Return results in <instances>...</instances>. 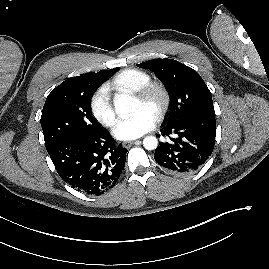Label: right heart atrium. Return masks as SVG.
<instances>
[{"instance_id":"obj_1","label":"right heart atrium","mask_w":269,"mask_h":269,"mask_svg":"<svg viewBox=\"0 0 269 269\" xmlns=\"http://www.w3.org/2000/svg\"><path fill=\"white\" fill-rule=\"evenodd\" d=\"M90 108L93 116L107 127L116 123V113L106 85L98 87L91 96Z\"/></svg>"}]
</instances>
